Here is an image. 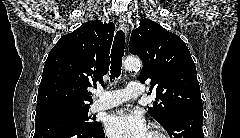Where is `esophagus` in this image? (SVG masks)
<instances>
[{
  "mask_svg": "<svg viewBox=\"0 0 240 138\" xmlns=\"http://www.w3.org/2000/svg\"><path fill=\"white\" fill-rule=\"evenodd\" d=\"M118 23H119L120 29L122 31L126 32L127 31L128 21H127L126 15L124 13H120L119 14Z\"/></svg>",
  "mask_w": 240,
  "mask_h": 138,
  "instance_id": "34e87169",
  "label": "esophagus"
}]
</instances>
